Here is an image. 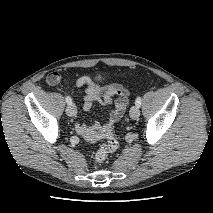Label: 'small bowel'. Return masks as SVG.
Instances as JSON below:
<instances>
[{
	"label": "small bowel",
	"instance_id": "1",
	"mask_svg": "<svg viewBox=\"0 0 213 213\" xmlns=\"http://www.w3.org/2000/svg\"><path fill=\"white\" fill-rule=\"evenodd\" d=\"M60 81L61 77L58 73H52L46 79L47 84L50 86L57 85ZM72 84L76 87H85L83 97L84 111H89L93 104L98 101L100 95H104L107 99L110 95L117 94L120 96V98L116 100L114 108L109 114V120L107 124H113L123 114L128 99L126 91L120 85L115 84L103 89L94 83L88 76H80ZM106 125L94 123L89 126L84 123H76L75 129L76 132L84 137L87 141L95 142L103 137V130Z\"/></svg>",
	"mask_w": 213,
	"mask_h": 213
}]
</instances>
